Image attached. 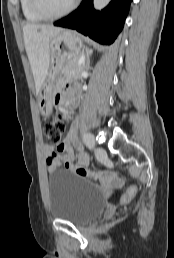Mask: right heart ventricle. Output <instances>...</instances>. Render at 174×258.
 I'll return each mask as SVG.
<instances>
[{
    "mask_svg": "<svg viewBox=\"0 0 174 258\" xmlns=\"http://www.w3.org/2000/svg\"><path fill=\"white\" fill-rule=\"evenodd\" d=\"M20 6L25 19L29 22L38 23L45 20L32 7L31 0H20Z\"/></svg>",
    "mask_w": 174,
    "mask_h": 258,
    "instance_id": "e07e8e85",
    "label": "right heart ventricle"
}]
</instances>
